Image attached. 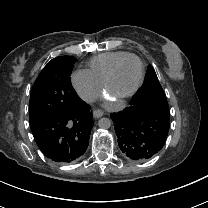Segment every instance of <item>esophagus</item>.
<instances>
[{
  "instance_id": "34e87169",
  "label": "esophagus",
  "mask_w": 208,
  "mask_h": 208,
  "mask_svg": "<svg viewBox=\"0 0 208 208\" xmlns=\"http://www.w3.org/2000/svg\"><path fill=\"white\" fill-rule=\"evenodd\" d=\"M104 115V113L101 110H94L93 111V117L94 118H100Z\"/></svg>"
}]
</instances>
